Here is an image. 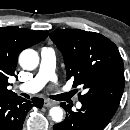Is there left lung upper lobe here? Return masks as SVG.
Returning <instances> with one entry per match:
<instances>
[{
    "label": "left lung upper lobe",
    "instance_id": "1",
    "mask_svg": "<svg viewBox=\"0 0 130 130\" xmlns=\"http://www.w3.org/2000/svg\"><path fill=\"white\" fill-rule=\"evenodd\" d=\"M51 40L62 52L67 80L81 86L79 100H98L117 109L124 91V66L117 46L105 36L79 29L55 30Z\"/></svg>",
    "mask_w": 130,
    "mask_h": 130
}]
</instances>
